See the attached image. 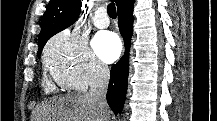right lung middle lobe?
<instances>
[{
    "instance_id": "dd1d6c3e",
    "label": "right lung middle lobe",
    "mask_w": 217,
    "mask_h": 121,
    "mask_svg": "<svg viewBox=\"0 0 217 121\" xmlns=\"http://www.w3.org/2000/svg\"><path fill=\"white\" fill-rule=\"evenodd\" d=\"M40 54H41V51H39V52L37 53L38 57L40 56Z\"/></svg>"
}]
</instances>
